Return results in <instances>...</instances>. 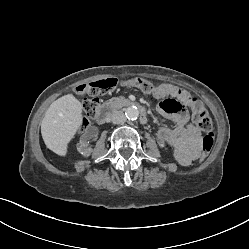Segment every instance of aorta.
I'll return each instance as SVG.
<instances>
[{
  "instance_id": "762f6f07",
  "label": "aorta",
  "mask_w": 249,
  "mask_h": 249,
  "mask_svg": "<svg viewBox=\"0 0 249 249\" xmlns=\"http://www.w3.org/2000/svg\"><path fill=\"white\" fill-rule=\"evenodd\" d=\"M125 115L130 120H135L139 116V110L136 106H129L125 109Z\"/></svg>"
}]
</instances>
